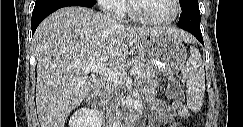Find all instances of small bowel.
Returning <instances> with one entry per match:
<instances>
[{"label": "small bowel", "instance_id": "c3829d8e", "mask_svg": "<svg viewBox=\"0 0 243 127\" xmlns=\"http://www.w3.org/2000/svg\"><path fill=\"white\" fill-rule=\"evenodd\" d=\"M151 105L157 110V115L150 120L151 127L160 126L161 122L175 127L181 119L190 117V110L182 101L175 100L167 105L163 101L151 100Z\"/></svg>", "mask_w": 243, "mask_h": 127}]
</instances>
